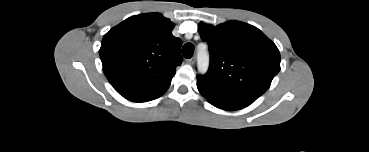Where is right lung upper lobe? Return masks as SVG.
Returning <instances> with one entry per match:
<instances>
[{"instance_id":"cb5924a9","label":"right lung upper lobe","mask_w":369,"mask_h":152,"mask_svg":"<svg viewBox=\"0 0 369 152\" xmlns=\"http://www.w3.org/2000/svg\"><path fill=\"white\" fill-rule=\"evenodd\" d=\"M175 24L159 13L132 16L107 32L99 50L103 71L114 89L133 102L160 97L181 64Z\"/></svg>"}]
</instances>
